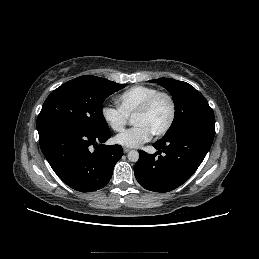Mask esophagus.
I'll return each mask as SVG.
<instances>
[{
    "instance_id": "esophagus-1",
    "label": "esophagus",
    "mask_w": 259,
    "mask_h": 259,
    "mask_svg": "<svg viewBox=\"0 0 259 259\" xmlns=\"http://www.w3.org/2000/svg\"><path fill=\"white\" fill-rule=\"evenodd\" d=\"M129 151H130L129 148H126V147L123 148V152H124V153H128Z\"/></svg>"
}]
</instances>
